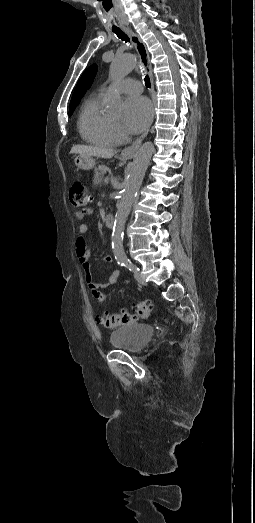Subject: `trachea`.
Instances as JSON below:
<instances>
[{
    "instance_id": "1",
    "label": "trachea",
    "mask_w": 255,
    "mask_h": 523,
    "mask_svg": "<svg viewBox=\"0 0 255 523\" xmlns=\"http://www.w3.org/2000/svg\"><path fill=\"white\" fill-rule=\"evenodd\" d=\"M112 31L117 35L118 38H120L122 41H125L126 43H130V39L126 33H124L120 28H112ZM145 85L148 88H151L150 78L148 75H145Z\"/></svg>"
}]
</instances>
